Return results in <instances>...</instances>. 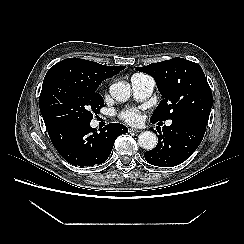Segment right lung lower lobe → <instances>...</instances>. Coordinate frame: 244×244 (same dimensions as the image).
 I'll return each mask as SVG.
<instances>
[{
  "instance_id": "98d812e1",
  "label": "right lung lower lobe",
  "mask_w": 244,
  "mask_h": 244,
  "mask_svg": "<svg viewBox=\"0 0 244 244\" xmlns=\"http://www.w3.org/2000/svg\"><path fill=\"white\" fill-rule=\"evenodd\" d=\"M128 129L119 123H110L100 132L90 122H74L48 130L52 144L59 154L74 166H93L105 162L118 136Z\"/></svg>"
}]
</instances>
